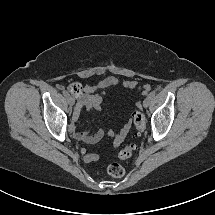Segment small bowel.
I'll return each instance as SVG.
<instances>
[{
	"label": "small bowel",
	"instance_id": "1",
	"mask_svg": "<svg viewBox=\"0 0 215 215\" xmlns=\"http://www.w3.org/2000/svg\"><path fill=\"white\" fill-rule=\"evenodd\" d=\"M118 84H121L124 88L128 89H137L141 93L145 94L149 91L150 86L148 84L139 85L136 80H126L120 82L114 76H108L102 79L96 85H85L81 87V90L78 94H76L78 98L77 108L73 114V122H76L80 109L84 108L87 112H98L101 110L102 106L104 105V97L102 93H98V90L104 91L111 87H114ZM131 127V122H126L121 130L115 133L113 130L110 129H99L95 132H77L75 129L74 123L71 125V131L73 132L74 136L86 143V144H95L99 142L103 137L109 136L113 138V147H118L128 134ZM81 152L84 154V159L87 162H94L99 159V155L96 153H87L85 149H82Z\"/></svg>",
	"mask_w": 215,
	"mask_h": 215
}]
</instances>
